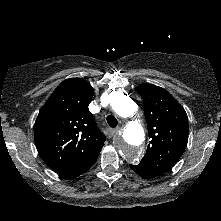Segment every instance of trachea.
<instances>
[{
	"label": "trachea",
	"mask_w": 221,
	"mask_h": 221,
	"mask_svg": "<svg viewBox=\"0 0 221 221\" xmlns=\"http://www.w3.org/2000/svg\"><path fill=\"white\" fill-rule=\"evenodd\" d=\"M106 120H107L108 125L112 128L116 127L118 124L117 119L113 115L107 116Z\"/></svg>",
	"instance_id": "trachea-1"
}]
</instances>
